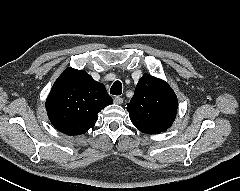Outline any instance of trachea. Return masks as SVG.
I'll return each mask as SVG.
<instances>
[{
    "mask_svg": "<svg viewBox=\"0 0 240 191\" xmlns=\"http://www.w3.org/2000/svg\"><path fill=\"white\" fill-rule=\"evenodd\" d=\"M110 93L113 95H121L122 93V84L120 81H115L110 88Z\"/></svg>",
    "mask_w": 240,
    "mask_h": 191,
    "instance_id": "1",
    "label": "trachea"
}]
</instances>
